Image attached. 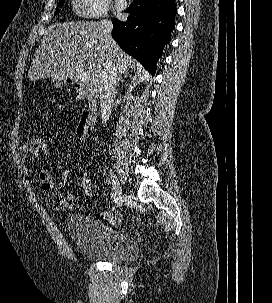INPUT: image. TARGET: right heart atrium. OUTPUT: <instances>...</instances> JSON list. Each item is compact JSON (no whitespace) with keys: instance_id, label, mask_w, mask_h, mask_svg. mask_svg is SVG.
<instances>
[{"instance_id":"1","label":"right heart atrium","mask_w":272,"mask_h":303,"mask_svg":"<svg viewBox=\"0 0 272 303\" xmlns=\"http://www.w3.org/2000/svg\"><path fill=\"white\" fill-rule=\"evenodd\" d=\"M110 0H77L78 9L84 17L101 18L107 15Z\"/></svg>"}]
</instances>
